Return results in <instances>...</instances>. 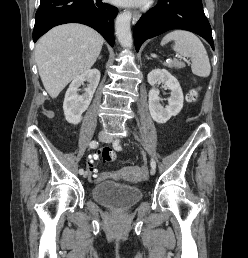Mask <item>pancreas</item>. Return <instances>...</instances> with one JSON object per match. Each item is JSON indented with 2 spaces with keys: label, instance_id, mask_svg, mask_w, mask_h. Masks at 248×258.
<instances>
[{
  "label": "pancreas",
  "instance_id": "obj_1",
  "mask_svg": "<svg viewBox=\"0 0 248 258\" xmlns=\"http://www.w3.org/2000/svg\"><path fill=\"white\" fill-rule=\"evenodd\" d=\"M165 65L169 68H176V69H180V68L185 67V64L183 62L178 61V60L170 61V62L166 63Z\"/></svg>",
  "mask_w": 248,
  "mask_h": 258
}]
</instances>
